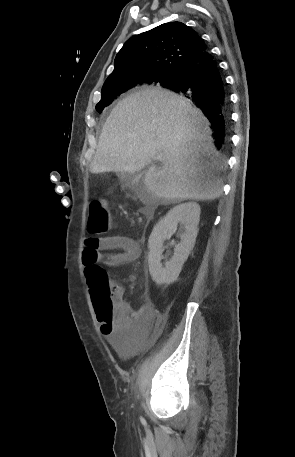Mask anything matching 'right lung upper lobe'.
<instances>
[{"label":"right lung upper lobe","instance_id":"right-lung-upper-lobe-1","mask_svg":"<svg viewBox=\"0 0 295 457\" xmlns=\"http://www.w3.org/2000/svg\"><path fill=\"white\" fill-rule=\"evenodd\" d=\"M206 48L197 32L184 23H164L125 42L102 90L129 85L128 91L175 77L186 62Z\"/></svg>","mask_w":295,"mask_h":457}]
</instances>
